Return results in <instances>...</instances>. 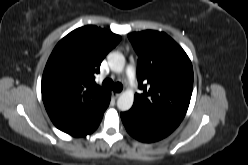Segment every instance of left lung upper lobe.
Segmentation results:
<instances>
[{"label":"left lung upper lobe","instance_id":"obj_1","mask_svg":"<svg viewBox=\"0 0 248 165\" xmlns=\"http://www.w3.org/2000/svg\"><path fill=\"white\" fill-rule=\"evenodd\" d=\"M138 54L139 88L133 109L178 126L193 90V68L185 51L167 34L146 30L128 34Z\"/></svg>","mask_w":248,"mask_h":165}]
</instances>
